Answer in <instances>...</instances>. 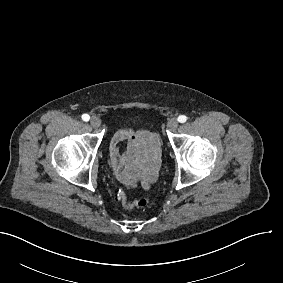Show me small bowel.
<instances>
[{
    "mask_svg": "<svg viewBox=\"0 0 283 283\" xmlns=\"http://www.w3.org/2000/svg\"><path fill=\"white\" fill-rule=\"evenodd\" d=\"M126 141L131 149L144 145L148 146L151 153V159L153 165L150 167L148 172L143 176V184L147 185L152 183L156 179V169L158 163V149H159V137L156 133L151 132L147 129H141L133 131L128 128H121L116 131L114 137L111 140L109 153L110 161L116 177L124 184H130V162L123 156H121L119 150V144ZM131 161L135 160L134 156L130 157ZM142 163H146L147 159L144 156L140 157ZM135 173L139 172V168L135 164L131 165Z\"/></svg>",
    "mask_w": 283,
    "mask_h": 283,
    "instance_id": "1",
    "label": "small bowel"
}]
</instances>
